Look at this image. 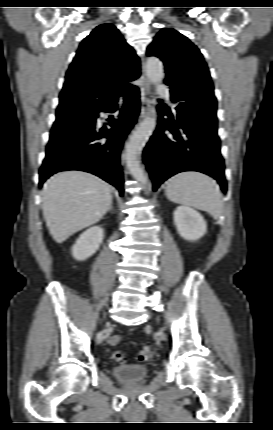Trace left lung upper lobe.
Masks as SVG:
<instances>
[{
	"label": "left lung upper lobe",
	"instance_id": "1",
	"mask_svg": "<svg viewBox=\"0 0 273 430\" xmlns=\"http://www.w3.org/2000/svg\"><path fill=\"white\" fill-rule=\"evenodd\" d=\"M148 56L160 58L165 83L177 111L197 119H216L217 101L209 69L199 49L172 28L162 29L147 48Z\"/></svg>",
	"mask_w": 273,
	"mask_h": 430
}]
</instances>
